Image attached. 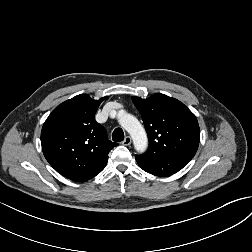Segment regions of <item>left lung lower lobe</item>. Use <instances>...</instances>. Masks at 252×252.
I'll list each match as a JSON object with an SVG mask.
<instances>
[{
  "label": "left lung lower lobe",
  "mask_w": 252,
  "mask_h": 252,
  "mask_svg": "<svg viewBox=\"0 0 252 252\" xmlns=\"http://www.w3.org/2000/svg\"><path fill=\"white\" fill-rule=\"evenodd\" d=\"M139 166L156 176H169L181 170L191 159L179 156H159L154 158L135 156Z\"/></svg>",
  "instance_id": "left-lung-lower-lobe-1"
}]
</instances>
